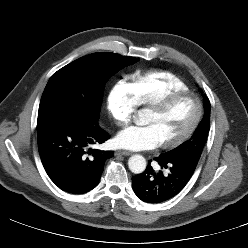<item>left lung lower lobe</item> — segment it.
I'll return each instance as SVG.
<instances>
[{
    "label": "left lung lower lobe",
    "mask_w": 248,
    "mask_h": 248,
    "mask_svg": "<svg viewBox=\"0 0 248 248\" xmlns=\"http://www.w3.org/2000/svg\"><path fill=\"white\" fill-rule=\"evenodd\" d=\"M167 172H155L150 162L146 170L132 177L133 191L147 203H161L170 200L186 186L193 175L198 159H176L160 154L154 158Z\"/></svg>",
    "instance_id": "1"
}]
</instances>
